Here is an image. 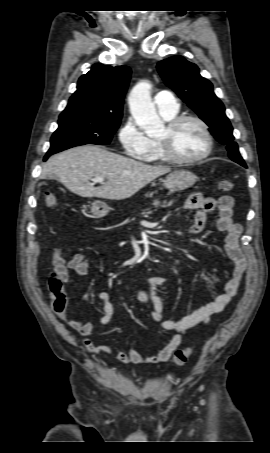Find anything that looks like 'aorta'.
Returning a JSON list of instances; mask_svg holds the SVG:
<instances>
[{"mask_svg":"<svg viewBox=\"0 0 270 453\" xmlns=\"http://www.w3.org/2000/svg\"><path fill=\"white\" fill-rule=\"evenodd\" d=\"M151 87L148 81H141L133 87L128 97L133 118L148 136L158 135L164 128L151 99Z\"/></svg>","mask_w":270,"mask_h":453,"instance_id":"1","label":"aorta"}]
</instances>
